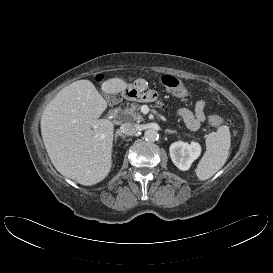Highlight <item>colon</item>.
Listing matches in <instances>:
<instances>
[{
    "label": "colon",
    "instance_id": "obj_1",
    "mask_svg": "<svg viewBox=\"0 0 273 273\" xmlns=\"http://www.w3.org/2000/svg\"><path fill=\"white\" fill-rule=\"evenodd\" d=\"M162 83L171 90L173 93L179 96H183L187 93V88L184 83L174 76L165 75L162 77ZM208 122L212 126H220L224 123L222 117L217 115L208 116Z\"/></svg>",
    "mask_w": 273,
    "mask_h": 273
}]
</instances>
